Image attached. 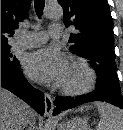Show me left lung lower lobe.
Instances as JSON below:
<instances>
[{"instance_id":"0a47b994","label":"left lung lower lobe","mask_w":123,"mask_h":130,"mask_svg":"<svg viewBox=\"0 0 123 130\" xmlns=\"http://www.w3.org/2000/svg\"><path fill=\"white\" fill-rule=\"evenodd\" d=\"M93 101L107 102L119 107L120 109H123V98L121 94L114 92L113 90L110 89L99 88L98 86H96V89L93 93L85 95L83 97L71 98V99H64L60 97L56 98V100L54 101L55 109L53 114L56 115L61 111L74 108L81 104Z\"/></svg>"}]
</instances>
